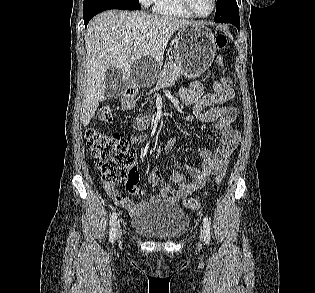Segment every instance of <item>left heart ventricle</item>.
Wrapping results in <instances>:
<instances>
[{"mask_svg":"<svg viewBox=\"0 0 315 293\" xmlns=\"http://www.w3.org/2000/svg\"><path fill=\"white\" fill-rule=\"evenodd\" d=\"M194 10L199 14H207L210 12L213 2L212 0H192Z\"/></svg>","mask_w":315,"mask_h":293,"instance_id":"obj_1","label":"left heart ventricle"}]
</instances>
